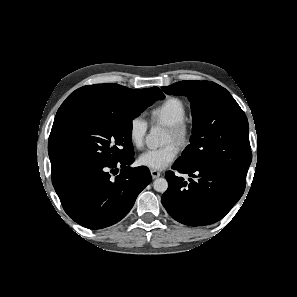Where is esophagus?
I'll use <instances>...</instances> for the list:
<instances>
[{
    "label": "esophagus",
    "mask_w": 297,
    "mask_h": 297,
    "mask_svg": "<svg viewBox=\"0 0 297 297\" xmlns=\"http://www.w3.org/2000/svg\"><path fill=\"white\" fill-rule=\"evenodd\" d=\"M161 173L158 170H151V176L153 179L160 177Z\"/></svg>",
    "instance_id": "34e87169"
}]
</instances>
